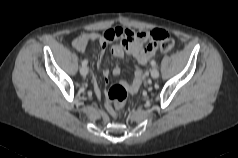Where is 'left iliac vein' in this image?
I'll list each match as a JSON object with an SVG mask.
<instances>
[{
    "label": "left iliac vein",
    "instance_id": "1",
    "mask_svg": "<svg viewBox=\"0 0 238 158\" xmlns=\"http://www.w3.org/2000/svg\"><path fill=\"white\" fill-rule=\"evenodd\" d=\"M151 77H152L153 79H156V78L159 77V71H158L157 68H152V70H151Z\"/></svg>",
    "mask_w": 238,
    "mask_h": 158
}]
</instances>
